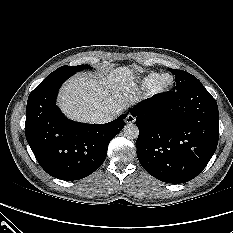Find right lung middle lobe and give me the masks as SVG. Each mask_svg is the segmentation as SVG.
I'll use <instances>...</instances> for the list:
<instances>
[{"instance_id":"dd1d6c3e","label":"right lung middle lobe","mask_w":233,"mask_h":233,"mask_svg":"<svg viewBox=\"0 0 233 233\" xmlns=\"http://www.w3.org/2000/svg\"><path fill=\"white\" fill-rule=\"evenodd\" d=\"M86 68H91L89 65H78V66H62L59 67L58 69H56L54 72H52L51 74H49L46 79L52 78L54 76L57 75H61V74H71L74 75L76 72L81 71L83 69Z\"/></svg>"}]
</instances>
